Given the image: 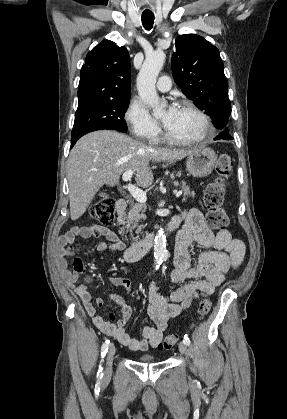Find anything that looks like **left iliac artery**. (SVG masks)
<instances>
[{
    "mask_svg": "<svg viewBox=\"0 0 287 419\" xmlns=\"http://www.w3.org/2000/svg\"><path fill=\"white\" fill-rule=\"evenodd\" d=\"M183 342H185L186 345H190V339L187 335L184 336Z\"/></svg>",
    "mask_w": 287,
    "mask_h": 419,
    "instance_id": "1",
    "label": "left iliac artery"
}]
</instances>
